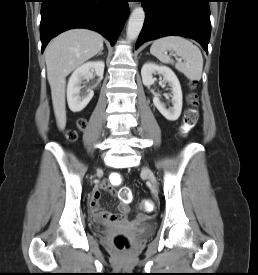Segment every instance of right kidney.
<instances>
[{
    "mask_svg": "<svg viewBox=\"0 0 258 275\" xmlns=\"http://www.w3.org/2000/svg\"><path fill=\"white\" fill-rule=\"evenodd\" d=\"M105 64L103 61H91L78 67L71 75L67 86V101L71 111L80 112L92 99L94 92L87 90L84 96H80L82 79L90 76L91 72L102 78Z\"/></svg>",
    "mask_w": 258,
    "mask_h": 275,
    "instance_id": "1",
    "label": "right kidney"
}]
</instances>
